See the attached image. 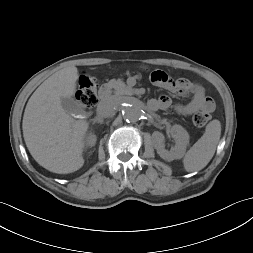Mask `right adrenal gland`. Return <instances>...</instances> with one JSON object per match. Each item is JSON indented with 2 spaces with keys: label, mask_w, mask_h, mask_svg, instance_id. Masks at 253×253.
<instances>
[{
  "label": "right adrenal gland",
  "mask_w": 253,
  "mask_h": 253,
  "mask_svg": "<svg viewBox=\"0 0 253 253\" xmlns=\"http://www.w3.org/2000/svg\"><path fill=\"white\" fill-rule=\"evenodd\" d=\"M101 119H102V118L96 117V118L94 119V123H100V124H102L103 121H102Z\"/></svg>",
  "instance_id": "right-adrenal-gland-1"
}]
</instances>
